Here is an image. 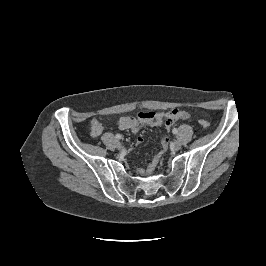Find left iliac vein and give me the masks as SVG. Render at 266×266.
I'll return each mask as SVG.
<instances>
[{
	"mask_svg": "<svg viewBox=\"0 0 266 266\" xmlns=\"http://www.w3.org/2000/svg\"><path fill=\"white\" fill-rule=\"evenodd\" d=\"M181 146H182V144H181V142L179 140H175L173 142V149L174 150H179L181 148Z\"/></svg>",
	"mask_w": 266,
	"mask_h": 266,
	"instance_id": "obj_1",
	"label": "left iliac vein"
}]
</instances>
